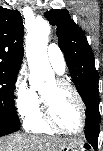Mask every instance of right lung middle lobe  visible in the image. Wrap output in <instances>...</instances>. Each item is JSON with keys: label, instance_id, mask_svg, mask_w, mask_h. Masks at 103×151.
<instances>
[{"label": "right lung middle lobe", "instance_id": "1", "mask_svg": "<svg viewBox=\"0 0 103 151\" xmlns=\"http://www.w3.org/2000/svg\"><path fill=\"white\" fill-rule=\"evenodd\" d=\"M19 69L0 64V116L16 123H20L14 103V87Z\"/></svg>", "mask_w": 103, "mask_h": 151}]
</instances>
